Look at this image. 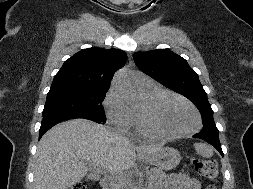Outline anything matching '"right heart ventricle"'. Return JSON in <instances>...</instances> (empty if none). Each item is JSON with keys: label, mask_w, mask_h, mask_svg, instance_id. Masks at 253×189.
I'll use <instances>...</instances> for the list:
<instances>
[{"label": "right heart ventricle", "mask_w": 253, "mask_h": 189, "mask_svg": "<svg viewBox=\"0 0 253 189\" xmlns=\"http://www.w3.org/2000/svg\"><path fill=\"white\" fill-rule=\"evenodd\" d=\"M136 88L142 99L143 105L141 107L131 108V115H132V125L140 129V113H141L142 107L148 100H150L155 95L163 92V90L159 88L158 86H156L154 83L152 84L139 83L137 84Z\"/></svg>", "instance_id": "1"}]
</instances>
